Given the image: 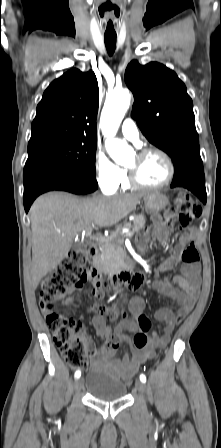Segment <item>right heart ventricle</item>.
Masks as SVG:
<instances>
[{
    "instance_id": "1",
    "label": "right heart ventricle",
    "mask_w": 221,
    "mask_h": 448,
    "mask_svg": "<svg viewBox=\"0 0 221 448\" xmlns=\"http://www.w3.org/2000/svg\"><path fill=\"white\" fill-rule=\"evenodd\" d=\"M121 187L122 189L126 190L129 189L131 187L129 181H128V176H127V172L124 171V176H123V180L121 182Z\"/></svg>"
}]
</instances>
